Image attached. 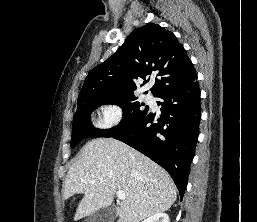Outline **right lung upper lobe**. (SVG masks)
<instances>
[{"label": "right lung upper lobe", "mask_w": 257, "mask_h": 222, "mask_svg": "<svg viewBox=\"0 0 257 222\" xmlns=\"http://www.w3.org/2000/svg\"><path fill=\"white\" fill-rule=\"evenodd\" d=\"M159 76L150 89L155 95L189 83L197 74L176 36L158 24L135 29L124 44L86 77L78 103L96 96L134 95V80ZM147 81H144V84Z\"/></svg>", "instance_id": "cb5924a9"}]
</instances>
